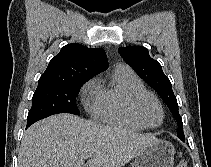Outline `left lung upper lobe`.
<instances>
[{
  "label": "left lung upper lobe",
  "instance_id": "5c2ea615",
  "mask_svg": "<svg viewBox=\"0 0 211 167\" xmlns=\"http://www.w3.org/2000/svg\"><path fill=\"white\" fill-rule=\"evenodd\" d=\"M118 52L135 72L157 91L177 121V136L185 138L182 118L178 112V104L171 82L163 73L159 62L152 59L149 56L148 50L142 46L121 47L118 49Z\"/></svg>",
  "mask_w": 211,
  "mask_h": 167
}]
</instances>
